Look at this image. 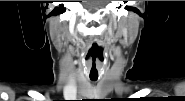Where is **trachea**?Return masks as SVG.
<instances>
[{
  "instance_id": "obj_1",
  "label": "trachea",
  "mask_w": 185,
  "mask_h": 101,
  "mask_svg": "<svg viewBox=\"0 0 185 101\" xmlns=\"http://www.w3.org/2000/svg\"><path fill=\"white\" fill-rule=\"evenodd\" d=\"M89 77L91 81H96L98 79V69L95 63H92Z\"/></svg>"
}]
</instances>
